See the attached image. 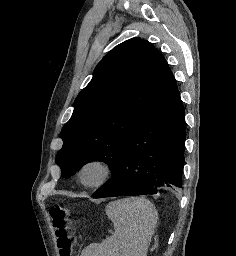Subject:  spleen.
Returning <instances> with one entry per match:
<instances>
[{
  "label": "spleen",
  "mask_w": 236,
  "mask_h": 256,
  "mask_svg": "<svg viewBox=\"0 0 236 256\" xmlns=\"http://www.w3.org/2000/svg\"><path fill=\"white\" fill-rule=\"evenodd\" d=\"M114 234L90 244L82 256H147L157 222L155 206L145 198H123L106 206Z\"/></svg>",
  "instance_id": "3e777b00"
}]
</instances>
